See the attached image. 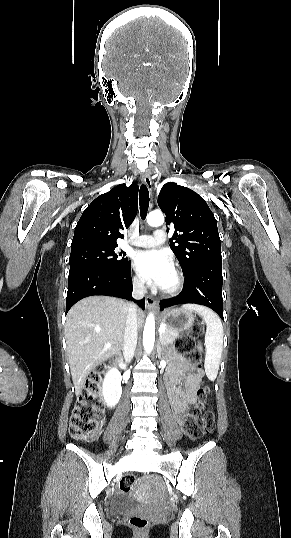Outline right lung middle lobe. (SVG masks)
Listing matches in <instances>:
<instances>
[{"instance_id":"right-lung-middle-lobe-1","label":"right lung middle lobe","mask_w":291,"mask_h":538,"mask_svg":"<svg viewBox=\"0 0 291 538\" xmlns=\"http://www.w3.org/2000/svg\"><path fill=\"white\" fill-rule=\"evenodd\" d=\"M117 245H89L71 249L70 270L80 267L122 268L129 264L125 252L117 253Z\"/></svg>"}]
</instances>
